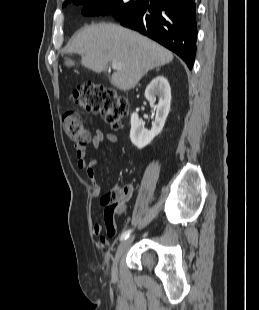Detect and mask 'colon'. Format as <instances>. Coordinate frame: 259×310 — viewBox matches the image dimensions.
Wrapping results in <instances>:
<instances>
[{
  "label": "colon",
  "mask_w": 259,
  "mask_h": 310,
  "mask_svg": "<svg viewBox=\"0 0 259 310\" xmlns=\"http://www.w3.org/2000/svg\"><path fill=\"white\" fill-rule=\"evenodd\" d=\"M74 106H69L63 114V128L69 139L84 146L89 141L88 132L78 109L89 114L101 115L113 129L121 127V119L128 109L125 98L114 89L101 84H83L76 87L71 95ZM101 201L107 211H116L126 202L125 188H113L105 193Z\"/></svg>",
  "instance_id": "5ec220e1"
}]
</instances>
